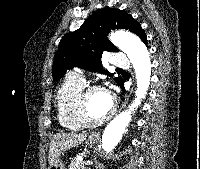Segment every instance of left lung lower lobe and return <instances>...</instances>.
<instances>
[{
  "label": "left lung lower lobe",
  "instance_id": "left-lung-lower-lobe-1",
  "mask_svg": "<svg viewBox=\"0 0 200 169\" xmlns=\"http://www.w3.org/2000/svg\"><path fill=\"white\" fill-rule=\"evenodd\" d=\"M146 45H147V39H145L144 41H143ZM124 81H122L120 84H119V86L121 87V89L122 90H124Z\"/></svg>",
  "mask_w": 200,
  "mask_h": 169
}]
</instances>
